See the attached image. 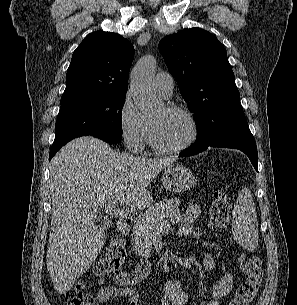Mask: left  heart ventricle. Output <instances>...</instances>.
<instances>
[{
    "label": "left heart ventricle",
    "mask_w": 297,
    "mask_h": 305,
    "mask_svg": "<svg viewBox=\"0 0 297 305\" xmlns=\"http://www.w3.org/2000/svg\"><path fill=\"white\" fill-rule=\"evenodd\" d=\"M156 141L163 147L172 148L186 142L191 135V125L181 114L162 108L151 118Z\"/></svg>",
    "instance_id": "left-heart-ventricle-1"
}]
</instances>
